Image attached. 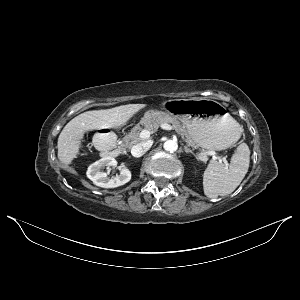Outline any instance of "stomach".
Masks as SVG:
<instances>
[{"label":"stomach","instance_id":"0dacf381","mask_svg":"<svg viewBox=\"0 0 300 300\" xmlns=\"http://www.w3.org/2000/svg\"><path fill=\"white\" fill-rule=\"evenodd\" d=\"M164 108L184 123L190 137L202 148L224 150L240 137L238 123L224 105L210 99H176L165 102ZM158 111H149L155 117Z\"/></svg>","mask_w":300,"mask_h":300}]
</instances>
